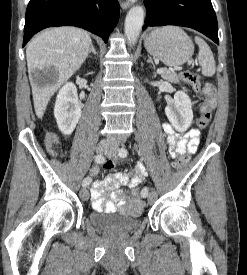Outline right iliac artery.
I'll return each instance as SVG.
<instances>
[{"mask_svg":"<svg viewBox=\"0 0 247 275\" xmlns=\"http://www.w3.org/2000/svg\"><path fill=\"white\" fill-rule=\"evenodd\" d=\"M95 161L99 164L104 163L105 157L101 154H98L95 157ZM91 181H92V179L90 177H86L82 182V186H88L91 183Z\"/></svg>","mask_w":247,"mask_h":275,"instance_id":"82829eb1","label":"right iliac artery"}]
</instances>
